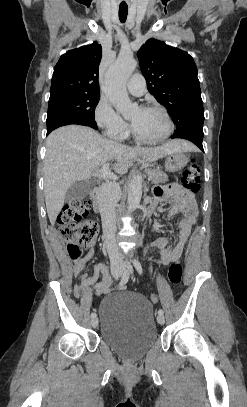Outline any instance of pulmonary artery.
<instances>
[{
    "instance_id": "e3ab8cb5",
    "label": "pulmonary artery",
    "mask_w": 247,
    "mask_h": 407,
    "mask_svg": "<svg viewBox=\"0 0 247 407\" xmlns=\"http://www.w3.org/2000/svg\"><path fill=\"white\" fill-rule=\"evenodd\" d=\"M127 89L131 94L141 96L145 91L144 77L139 73L134 74L127 82Z\"/></svg>"
}]
</instances>
